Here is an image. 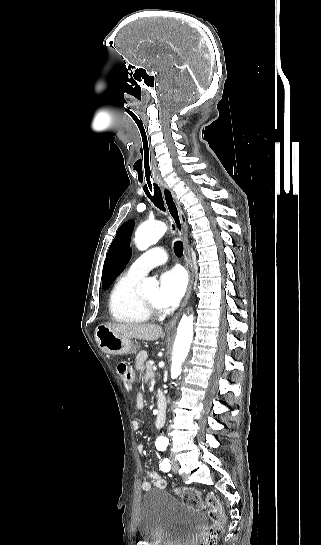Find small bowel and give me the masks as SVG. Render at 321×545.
<instances>
[{"instance_id":"small-bowel-1","label":"small bowel","mask_w":321,"mask_h":545,"mask_svg":"<svg viewBox=\"0 0 321 545\" xmlns=\"http://www.w3.org/2000/svg\"><path fill=\"white\" fill-rule=\"evenodd\" d=\"M136 406L139 409H142L144 407V399L142 395H138L136 398ZM140 423L138 420L133 421V428L135 430L139 429ZM138 452L140 454H143L144 446L142 444L138 445ZM146 475L150 479L149 481H144L141 484V488L144 491H149L151 488H158V489H164L166 487V481L155 471L152 470H146Z\"/></svg>"}]
</instances>
